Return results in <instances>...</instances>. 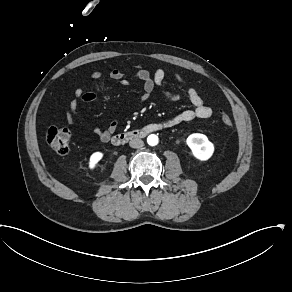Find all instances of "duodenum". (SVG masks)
<instances>
[{"instance_id":"410a0bca","label":"duodenum","mask_w":292,"mask_h":292,"mask_svg":"<svg viewBox=\"0 0 292 292\" xmlns=\"http://www.w3.org/2000/svg\"><path fill=\"white\" fill-rule=\"evenodd\" d=\"M162 127H163V124L155 123L141 129H132V130L120 132L112 137V143L123 144L130 139L142 138L144 135L148 133L157 132V131L166 129Z\"/></svg>"}]
</instances>
